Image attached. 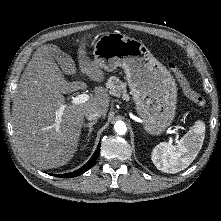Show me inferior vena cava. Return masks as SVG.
Masks as SVG:
<instances>
[{"instance_id": "1", "label": "inferior vena cava", "mask_w": 221, "mask_h": 221, "mask_svg": "<svg viewBox=\"0 0 221 221\" xmlns=\"http://www.w3.org/2000/svg\"><path fill=\"white\" fill-rule=\"evenodd\" d=\"M85 117L87 120H97L101 117V113L98 110L92 109L85 113Z\"/></svg>"}]
</instances>
